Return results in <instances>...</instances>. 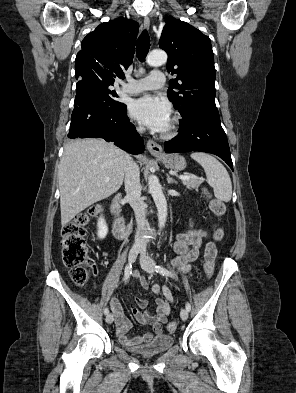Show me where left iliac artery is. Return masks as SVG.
<instances>
[{
  "mask_svg": "<svg viewBox=\"0 0 296 393\" xmlns=\"http://www.w3.org/2000/svg\"><path fill=\"white\" fill-rule=\"evenodd\" d=\"M155 269H156V272L161 274L162 276H165V277H167V276L173 277L174 276V274L172 272H170L169 270H167L165 267H163L161 265H156ZM185 307L188 311L191 310V305L189 303H186Z\"/></svg>",
  "mask_w": 296,
  "mask_h": 393,
  "instance_id": "left-iliac-artery-1",
  "label": "left iliac artery"
}]
</instances>
